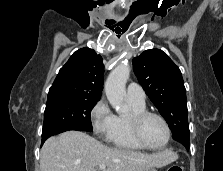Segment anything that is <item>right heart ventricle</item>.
Masks as SVG:
<instances>
[{
  "label": "right heart ventricle",
  "instance_id": "e07e8e85",
  "mask_svg": "<svg viewBox=\"0 0 223 171\" xmlns=\"http://www.w3.org/2000/svg\"><path fill=\"white\" fill-rule=\"evenodd\" d=\"M129 104L132 110L131 113L146 110L145 104L136 103L130 100ZM128 119L129 116L115 115L114 126L107 140L115 148L127 151H140L143 148L137 144L132 137Z\"/></svg>",
  "mask_w": 223,
  "mask_h": 171
}]
</instances>
